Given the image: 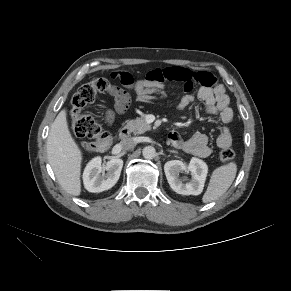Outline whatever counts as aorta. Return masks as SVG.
<instances>
[{
    "mask_svg": "<svg viewBox=\"0 0 291 291\" xmlns=\"http://www.w3.org/2000/svg\"><path fill=\"white\" fill-rule=\"evenodd\" d=\"M145 159H153L156 156V150L153 146H146L142 151Z\"/></svg>",
    "mask_w": 291,
    "mask_h": 291,
    "instance_id": "762f6f07",
    "label": "aorta"
}]
</instances>
